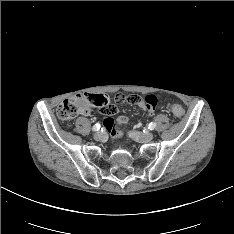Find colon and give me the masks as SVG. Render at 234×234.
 I'll return each mask as SVG.
<instances>
[{"label": "colon", "instance_id": "5ec220e1", "mask_svg": "<svg viewBox=\"0 0 234 234\" xmlns=\"http://www.w3.org/2000/svg\"><path fill=\"white\" fill-rule=\"evenodd\" d=\"M90 95L92 94H80L64 100L57 108L58 117L62 120H71L79 114L91 113L89 109L90 105L87 102V99ZM171 109L174 116L177 118H181L184 115V109L178 104H173Z\"/></svg>", "mask_w": 234, "mask_h": 234}]
</instances>
